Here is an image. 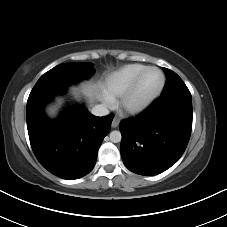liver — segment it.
<instances>
[{"label": "liver", "mask_w": 227, "mask_h": 227, "mask_svg": "<svg viewBox=\"0 0 227 227\" xmlns=\"http://www.w3.org/2000/svg\"><path fill=\"white\" fill-rule=\"evenodd\" d=\"M82 93L92 99L96 95L95 87L93 85H85L82 88Z\"/></svg>", "instance_id": "liver-1"}]
</instances>
